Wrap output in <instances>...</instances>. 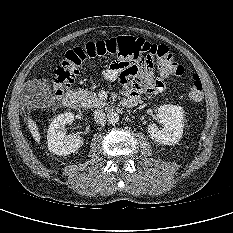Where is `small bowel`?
Returning <instances> with one entry per match:
<instances>
[{
    "instance_id": "small-bowel-1",
    "label": "small bowel",
    "mask_w": 233,
    "mask_h": 233,
    "mask_svg": "<svg viewBox=\"0 0 233 233\" xmlns=\"http://www.w3.org/2000/svg\"><path fill=\"white\" fill-rule=\"evenodd\" d=\"M161 65V58L156 53L138 52L133 62L117 61L102 73V77L112 81L119 79L126 89V95L139 96L143 92L160 93L164 90V81L155 78L157 69Z\"/></svg>"
}]
</instances>
